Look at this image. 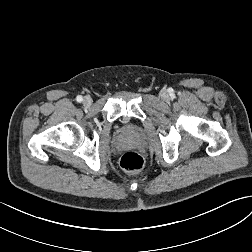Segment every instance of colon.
I'll use <instances>...</instances> for the list:
<instances>
[{
	"label": "colon",
	"mask_w": 252,
	"mask_h": 252,
	"mask_svg": "<svg viewBox=\"0 0 252 252\" xmlns=\"http://www.w3.org/2000/svg\"><path fill=\"white\" fill-rule=\"evenodd\" d=\"M120 166L127 172L135 173L143 168L144 159L139 153L126 152L120 159Z\"/></svg>",
	"instance_id": "colon-1"
}]
</instances>
